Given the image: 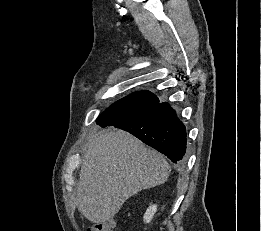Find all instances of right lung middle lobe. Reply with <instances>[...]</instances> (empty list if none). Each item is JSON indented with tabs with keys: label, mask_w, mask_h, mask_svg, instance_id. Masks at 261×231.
<instances>
[{
	"label": "right lung middle lobe",
	"mask_w": 261,
	"mask_h": 231,
	"mask_svg": "<svg viewBox=\"0 0 261 231\" xmlns=\"http://www.w3.org/2000/svg\"><path fill=\"white\" fill-rule=\"evenodd\" d=\"M159 99L148 92H135L111 105L98 118L101 127L114 126L156 106Z\"/></svg>",
	"instance_id": "dd1d6c3e"
}]
</instances>
